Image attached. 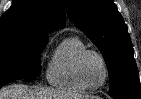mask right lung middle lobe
<instances>
[{"label": "right lung middle lobe", "instance_id": "1", "mask_svg": "<svg viewBox=\"0 0 141 99\" xmlns=\"http://www.w3.org/2000/svg\"><path fill=\"white\" fill-rule=\"evenodd\" d=\"M46 42L30 36H0V88L14 80L38 77Z\"/></svg>", "mask_w": 141, "mask_h": 99}]
</instances>
